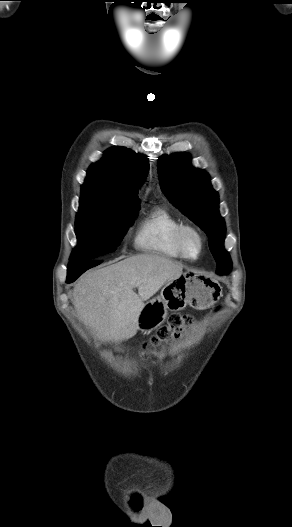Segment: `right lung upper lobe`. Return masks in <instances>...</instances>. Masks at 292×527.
I'll list each match as a JSON object with an SVG mask.
<instances>
[{
	"label": "right lung upper lobe",
	"mask_w": 292,
	"mask_h": 527,
	"mask_svg": "<svg viewBox=\"0 0 292 527\" xmlns=\"http://www.w3.org/2000/svg\"><path fill=\"white\" fill-rule=\"evenodd\" d=\"M149 170V161L125 147H112L90 166L82 194H94L117 203L139 202L138 190Z\"/></svg>",
	"instance_id": "obj_1"
}]
</instances>
